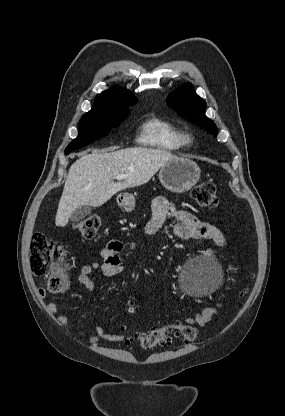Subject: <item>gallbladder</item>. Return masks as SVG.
Here are the masks:
<instances>
[{"label":"gallbladder","mask_w":285,"mask_h":416,"mask_svg":"<svg viewBox=\"0 0 285 416\" xmlns=\"http://www.w3.org/2000/svg\"><path fill=\"white\" fill-rule=\"evenodd\" d=\"M89 214H91L90 206H82V208H78V210H75V212L71 214L70 220L71 222H80V220H83V218H86Z\"/></svg>","instance_id":"gallbladder-1"}]
</instances>
